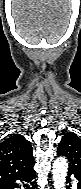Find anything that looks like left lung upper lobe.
<instances>
[{"instance_id":"obj_1","label":"left lung upper lobe","mask_w":81,"mask_h":189,"mask_svg":"<svg viewBox=\"0 0 81 189\" xmlns=\"http://www.w3.org/2000/svg\"><path fill=\"white\" fill-rule=\"evenodd\" d=\"M57 155L68 159V174L81 179V136L66 133L58 145Z\"/></svg>"}]
</instances>
